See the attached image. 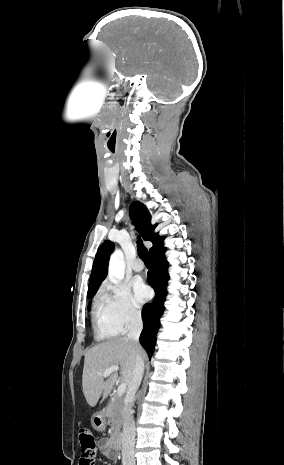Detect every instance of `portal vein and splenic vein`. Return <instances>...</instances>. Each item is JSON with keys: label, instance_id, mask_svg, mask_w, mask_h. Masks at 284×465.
<instances>
[{"label": "portal vein and splenic vein", "instance_id": "portal-vein-and-splenic-vein-1", "mask_svg": "<svg viewBox=\"0 0 284 465\" xmlns=\"http://www.w3.org/2000/svg\"><path fill=\"white\" fill-rule=\"evenodd\" d=\"M119 371V367H109V369H105L104 373H102V377H109L111 373H117ZM126 383H121L117 389V397H122L126 391Z\"/></svg>", "mask_w": 284, "mask_h": 465}]
</instances>
